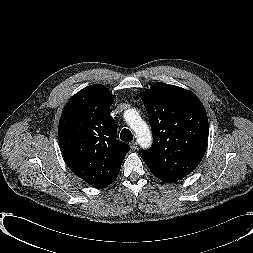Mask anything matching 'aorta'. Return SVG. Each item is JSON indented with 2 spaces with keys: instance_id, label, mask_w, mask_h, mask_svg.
Returning a JSON list of instances; mask_svg holds the SVG:
<instances>
[{
  "instance_id": "1",
  "label": "aorta",
  "mask_w": 253,
  "mask_h": 253,
  "mask_svg": "<svg viewBox=\"0 0 253 253\" xmlns=\"http://www.w3.org/2000/svg\"><path fill=\"white\" fill-rule=\"evenodd\" d=\"M124 119L135 132L140 146L147 148L151 145L152 135L149 126L143 121L135 109H128L124 113Z\"/></svg>"
}]
</instances>
